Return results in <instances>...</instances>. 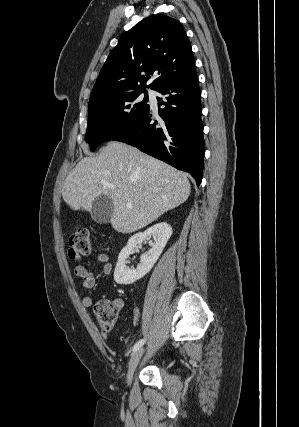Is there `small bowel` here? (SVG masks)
Instances as JSON below:
<instances>
[{
    "label": "small bowel",
    "mask_w": 299,
    "mask_h": 427,
    "mask_svg": "<svg viewBox=\"0 0 299 427\" xmlns=\"http://www.w3.org/2000/svg\"><path fill=\"white\" fill-rule=\"evenodd\" d=\"M96 264L102 266V273L104 275H109L112 272V265L108 262V256L105 253H100L95 258ZM74 274L82 280L83 286L86 289H93L96 285V279L94 275L86 269L82 264H77L74 266ZM93 297L91 295H85L82 299V304L84 307L89 308L93 305ZM113 307L120 312L124 307V301L122 299H115L113 301ZM134 323L139 322L140 312L138 309L134 310L133 313Z\"/></svg>",
    "instance_id": "small-bowel-1"
}]
</instances>
